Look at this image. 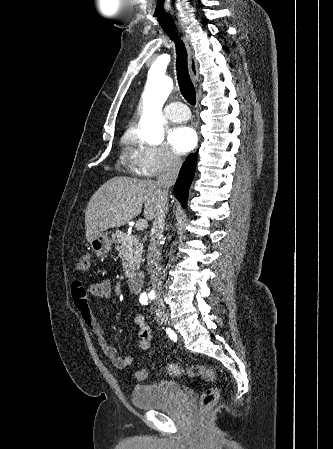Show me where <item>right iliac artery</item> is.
Here are the masks:
<instances>
[{
    "instance_id": "right-iliac-artery-1",
    "label": "right iliac artery",
    "mask_w": 333,
    "mask_h": 449,
    "mask_svg": "<svg viewBox=\"0 0 333 449\" xmlns=\"http://www.w3.org/2000/svg\"><path fill=\"white\" fill-rule=\"evenodd\" d=\"M152 299V298H151ZM147 300H148V298H147V296H141L140 297V299H139V301H140V303L142 304V305H147Z\"/></svg>"
}]
</instances>
